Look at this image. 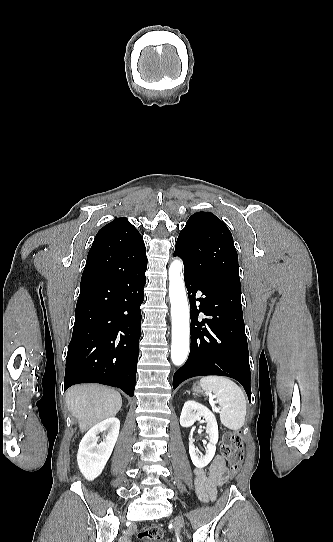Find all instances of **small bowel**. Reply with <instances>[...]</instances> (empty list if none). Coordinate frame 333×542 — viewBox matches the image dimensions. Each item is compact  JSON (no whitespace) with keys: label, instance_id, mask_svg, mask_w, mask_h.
Wrapping results in <instances>:
<instances>
[{"label":"small bowel","instance_id":"small-bowel-1","mask_svg":"<svg viewBox=\"0 0 333 542\" xmlns=\"http://www.w3.org/2000/svg\"><path fill=\"white\" fill-rule=\"evenodd\" d=\"M195 490L197 497L203 503L212 502L216 499L217 488L228 478L225 458L216 455L209 464L207 471L203 468H195Z\"/></svg>","mask_w":333,"mask_h":542}]
</instances>
